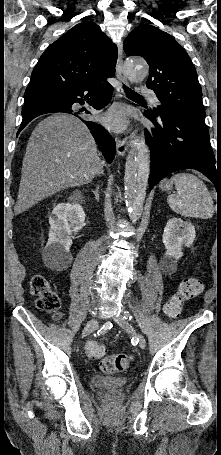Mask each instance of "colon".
I'll return each mask as SVG.
<instances>
[{
  "label": "colon",
  "instance_id": "5ec220e1",
  "mask_svg": "<svg viewBox=\"0 0 221 455\" xmlns=\"http://www.w3.org/2000/svg\"><path fill=\"white\" fill-rule=\"evenodd\" d=\"M203 291L200 279L188 278L181 282L178 290L170 297L164 306L168 318H177L185 302L199 296ZM30 292L36 297V306L39 310L50 314L54 318L60 316L61 299L51 287L48 279L35 274L30 279ZM86 354L91 359H100V369L106 373L120 372L128 369L132 363V356L126 353L104 356L106 348L96 341H88L85 346Z\"/></svg>",
  "mask_w": 221,
  "mask_h": 455
}]
</instances>
